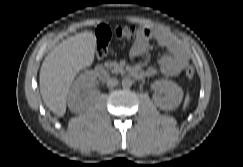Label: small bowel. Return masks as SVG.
<instances>
[{
	"label": "small bowel",
	"mask_w": 243,
	"mask_h": 167,
	"mask_svg": "<svg viewBox=\"0 0 243 167\" xmlns=\"http://www.w3.org/2000/svg\"><path fill=\"white\" fill-rule=\"evenodd\" d=\"M150 40H154L158 45L165 48L168 54L161 57L158 68L149 67L141 76L153 77L158 72L165 76H174L188 64L189 54L186 47L161 28L143 26L133 41L130 55L132 57L145 55L148 51Z\"/></svg>",
	"instance_id": "c3829d8e"
}]
</instances>
